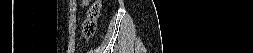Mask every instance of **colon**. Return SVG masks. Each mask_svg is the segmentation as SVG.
I'll return each mask as SVG.
<instances>
[{"label": "colon", "mask_w": 253, "mask_h": 53, "mask_svg": "<svg viewBox=\"0 0 253 53\" xmlns=\"http://www.w3.org/2000/svg\"><path fill=\"white\" fill-rule=\"evenodd\" d=\"M101 1L95 0L87 11V17L82 23V37L89 39L96 32L97 19L100 16Z\"/></svg>", "instance_id": "5ec220e1"}]
</instances>
